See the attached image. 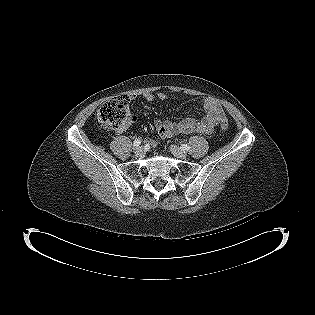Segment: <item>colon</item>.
Here are the masks:
<instances>
[{"instance_id":"1","label":"colon","mask_w":315,"mask_h":315,"mask_svg":"<svg viewBox=\"0 0 315 315\" xmlns=\"http://www.w3.org/2000/svg\"><path fill=\"white\" fill-rule=\"evenodd\" d=\"M98 121L106 128L121 130L126 128L133 120L129 110L127 96H117L105 102L97 111ZM223 130L228 128L227 120L220 123Z\"/></svg>"}]
</instances>
